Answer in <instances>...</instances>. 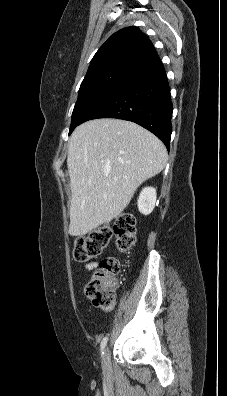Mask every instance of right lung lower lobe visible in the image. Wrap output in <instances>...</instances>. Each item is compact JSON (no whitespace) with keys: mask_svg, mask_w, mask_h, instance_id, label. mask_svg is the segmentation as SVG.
<instances>
[{"mask_svg":"<svg viewBox=\"0 0 227 396\" xmlns=\"http://www.w3.org/2000/svg\"><path fill=\"white\" fill-rule=\"evenodd\" d=\"M172 111L166 72L156 55L133 70L81 123L98 118L132 121L155 134L169 149Z\"/></svg>","mask_w":227,"mask_h":396,"instance_id":"obj_1","label":"right lung lower lobe"}]
</instances>
